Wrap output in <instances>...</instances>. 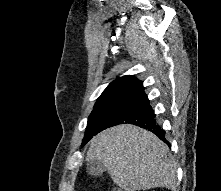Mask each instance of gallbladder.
I'll list each match as a JSON object with an SVG mask.
<instances>
[{"label":"gallbladder","mask_w":221,"mask_h":191,"mask_svg":"<svg viewBox=\"0 0 221 191\" xmlns=\"http://www.w3.org/2000/svg\"><path fill=\"white\" fill-rule=\"evenodd\" d=\"M86 171L89 175L100 176L106 171V166L102 161L93 159L87 163Z\"/></svg>","instance_id":"bac80fb5"}]
</instances>
